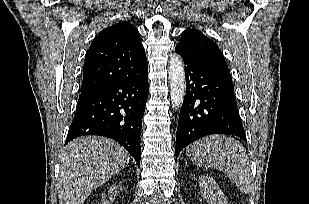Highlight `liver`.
Wrapping results in <instances>:
<instances>
[{"label": "liver", "mask_w": 309, "mask_h": 204, "mask_svg": "<svg viewBox=\"0 0 309 204\" xmlns=\"http://www.w3.org/2000/svg\"><path fill=\"white\" fill-rule=\"evenodd\" d=\"M129 161V153L111 139L85 136L71 141L60 158L59 203L83 204L94 189L119 173Z\"/></svg>", "instance_id": "liver-1"}]
</instances>
